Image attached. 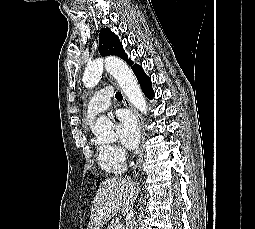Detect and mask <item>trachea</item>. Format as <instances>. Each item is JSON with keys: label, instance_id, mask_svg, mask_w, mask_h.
<instances>
[{"label": "trachea", "instance_id": "3493384b", "mask_svg": "<svg viewBox=\"0 0 255 229\" xmlns=\"http://www.w3.org/2000/svg\"><path fill=\"white\" fill-rule=\"evenodd\" d=\"M116 99H122V94L120 92H116L115 94Z\"/></svg>", "mask_w": 255, "mask_h": 229}]
</instances>
